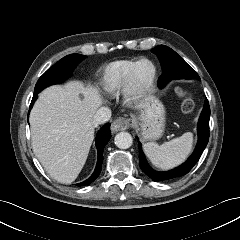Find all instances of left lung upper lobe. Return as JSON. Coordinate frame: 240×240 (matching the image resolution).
Segmentation results:
<instances>
[{"label": "left lung upper lobe", "mask_w": 240, "mask_h": 240, "mask_svg": "<svg viewBox=\"0 0 240 240\" xmlns=\"http://www.w3.org/2000/svg\"><path fill=\"white\" fill-rule=\"evenodd\" d=\"M161 62L163 74L158 79V86L163 87L173 79H199L198 74L171 48L159 45L151 50Z\"/></svg>", "instance_id": "5c2ea615"}]
</instances>
